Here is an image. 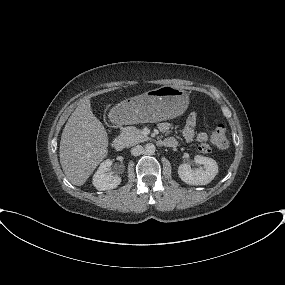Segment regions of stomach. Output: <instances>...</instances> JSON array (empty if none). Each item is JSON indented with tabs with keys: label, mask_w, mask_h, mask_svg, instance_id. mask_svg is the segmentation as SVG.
Segmentation results:
<instances>
[{
	"label": "stomach",
	"mask_w": 285,
	"mask_h": 285,
	"mask_svg": "<svg viewBox=\"0 0 285 285\" xmlns=\"http://www.w3.org/2000/svg\"><path fill=\"white\" fill-rule=\"evenodd\" d=\"M188 105L185 90L166 85L120 102L111 116L121 124L154 123L183 114Z\"/></svg>",
	"instance_id": "stomach-1"
}]
</instances>
